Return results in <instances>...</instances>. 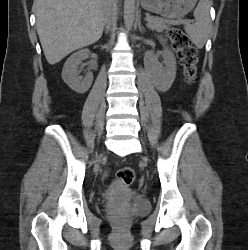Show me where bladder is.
I'll return each mask as SVG.
<instances>
[{"label": "bladder", "instance_id": "bladder-1", "mask_svg": "<svg viewBox=\"0 0 248 250\" xmlns=\"http://www.w3.org/2000/svg\"><path fill=\"white\" fill-rule=\"evenodd\" d=\"M149 209L148 200L139 194H130L126 199L125 211L129 214H144Z\"/></svg>", "mask_w": 248, "mask_h": 250}]
</instances>
